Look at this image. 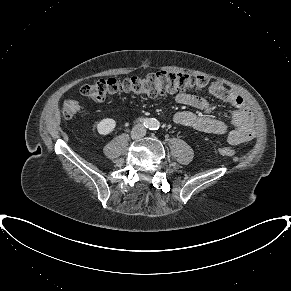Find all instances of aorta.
I'll return each instance as SVG.
<instances>
[{"mask_svg": "<svg viewBox=\"0 0 291 291\" xmlns=\"http://www.w3.org/2000/svg\"><path fill=\"white\" fill-rule=\"evenodd\" d=\"M147 125L150 129L156 130L159 128V121L157 119L152 118L148 121Z\"/></svg>", "mask_w": 291, "mask_h": 291, "instance_id": "1", "label": "aorta"}]
</instances>
